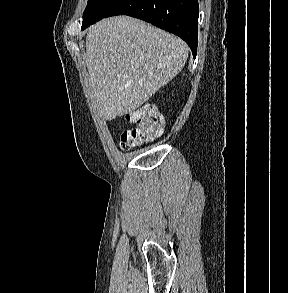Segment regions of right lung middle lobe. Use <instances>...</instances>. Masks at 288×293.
I'll return each instance as SVG.
<instances>
[{"label":"right lung middle lobe","instance_id":"obj_1","mask_svg":"<svg viewBox=\"0 0 288 293\" xmlns=\"http://www.w3.org/2000/svg\"><path fill=\"white\" fill-rule=\"evenodd\" d=\"M123 0H88L83 14L82 30L106 17Z\"/></svg>","mask_w":288,"mask_h":293}]
</instances>
